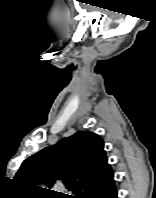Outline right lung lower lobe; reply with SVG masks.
<instances>
[{
    "mask_svg": "<svg viewBox=\"0 0 156 198\" xmlns=\"http://www.w3.org/2000/svg\"><path fill=\"white\" fill-rule=\"evenodd\" d=\"M101 198H117V190L115 186L110 189L107 193H105Z\"/></svg>",
    "mask_w": 156,
    "mask_h": 198,
    "instance_id": "98d812e1",
    "label": "right lung lower lobe"
}]
</instances>
